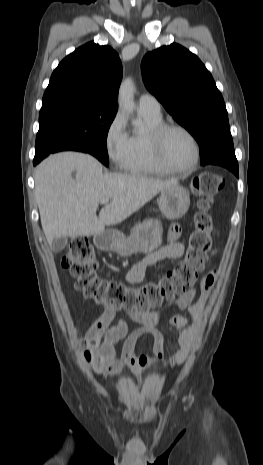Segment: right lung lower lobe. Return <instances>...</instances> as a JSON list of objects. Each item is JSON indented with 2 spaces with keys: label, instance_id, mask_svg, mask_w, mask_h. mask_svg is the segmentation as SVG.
Instances as JSON below:
<instances>
[{
  "label": "right lung lower lobe",
  "instance_id": "right-lung-lower-lobe-1",
  "mask_svg": "<svg viewBox=\"0 0 263 465\" xmlns=\"http://www.w3.org/2000/svg\"><path fill=\"white\" fill-rule=\"evenodd\" d=\"M64 150H74V151L85 152V151H83V150H81V149H78V148H75V147L66 148V149H63V150H60V151H64ZM57 152H58V151H57ZM86 153H87V152H86ZM40 161H41V160H39V159H34L33 164L36 165V164H38Z\"/></svg>",
  "mask_w": 263,
  "mask_h": 465
}]
</instances>
